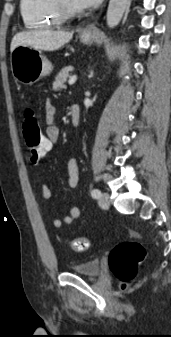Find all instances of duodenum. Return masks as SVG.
I'll return each instance as SVG.
<instances>
[{"mask_svg": "<svg viewBox=\"0 0 171 337\" xmlns=\"http://www.w3.org/2000/svg\"><path fill=\"white\" fill-rule=\"evenodd\" d=\"M71 122L73 126H78L80 123V107L78 105H72L70 108Z\"/></svg>", "mask_w": 171, "mask_h": 337, "instance_id": "obj_1", "label": "duodenum"}]
</instances>
